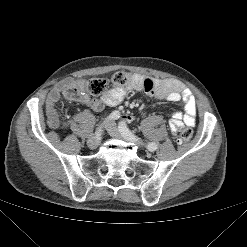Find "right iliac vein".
I'll return each mask as SVG.
<instances>
[{
    "mask_svg": "<svg viewBox=\"0 0 247 247\" xmlns=\"http://www.w3.org/2000/svg\"><path fill=\"white\" fill-rule=\"evenodd\" d=\"M101 134H102V130L100 131V136H90L88 141H87V145L90 147V148H96L98 145H96V140H100L101 139Z\"/></svg>",
    "mask_w": 247,
    "mask_h": 247,
    "instance_id": "1",
    "label": "right iliac vein"
}]
</instances>
